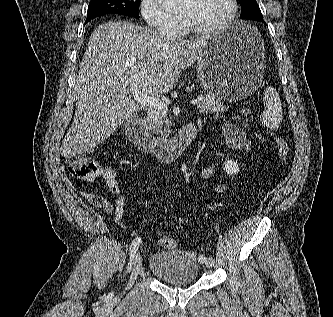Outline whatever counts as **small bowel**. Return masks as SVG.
<instances>
[{"label": "small bowel", "instance_id": "1", "mask_svg": "<svg viewBox=\"0 0 333 317\" xmlns=\"http://www.w3.org/2000/svg\"><path fill=\"white\" fill-rule=\"evenodd\" d=\"M225 140L226 145L230 149L236 148H249L250 141L247 138L246 133L243 129L233 123H226L224 125ZM213 172V166L205 168L202 171V177L207 178ZM104 178L107 186V191L110 194L116 195L114 202L109 201L108 199L91 193H82L83 197L93 206L103 210L106 214H113L114 221L116 224L122 222L124 214V206L126 203V194L121 193L118 188V183L116 180V171L112 166H109L104 172ZM228 188L226 184H220L216 186L213 191L223 192Z\"/></svg>", "mask_w": 333, "mask_h": 317}]
</instances>
